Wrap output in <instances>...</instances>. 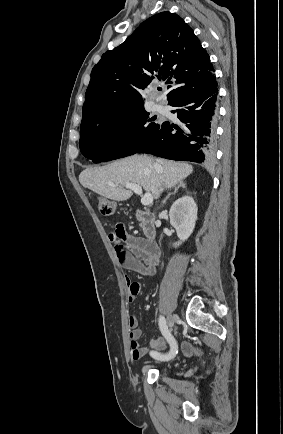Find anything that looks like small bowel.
Wrapping results in <instances>:
<instances>
[{"mask_svg": "<svg viewBox=\"0 0 283 434\" xmlns=\"http://www.w3.org/2000/svg\"><path fill=\"white\" fill-rule=\"evenodd\" d=\"M109 240L115 244V255L121 266L126 271H134L144 276H153L160 263V249L156 244H149L144 238L128 234L123 224L117 223L115 231L109 234ZM142 284L138 281L127 279L128 300L132 302L140 292ZM130 328L129 339L131 357L139 360L148 352L164 350L167 347L165 337L151 338L150 349L139 344L142 331L138 328V321L135 316L128 318ZM182 352L186 356L195 353V349L189 342L182 344Z\"/></svg>", "mask_w": 283, "mask_h": 434, "instance_id": "1", "label": "small bowel"}]
</instances>
